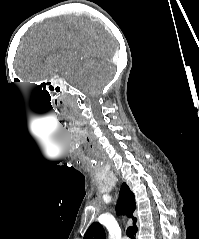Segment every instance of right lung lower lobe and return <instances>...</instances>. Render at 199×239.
Listing matches in <instances>:
<instances>
[{
	"instance_id": "1",
	"label": "right lung lower lobe",
	"mask_w": 199,
	"mask_h": 239,
	"mask_svg": "<svg viewBox=\"0 0 199 239\" xmlns=\"http://www.w3.org/2000/svg\"><path fill=\"white\" fill-rule=\"evenodd\" d=\"M136 232H137V227H136V228H134V233L136 234Z\"/></svg>"
}]
</instances>
